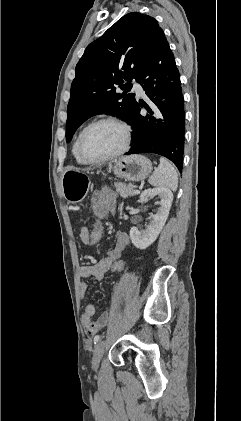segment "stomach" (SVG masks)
Here are the masks:
<instances>
[{
	"instance_id": "obj_1",
	"label": "stomach",
	"mask_w": 241,
	"mask_h": 421,
	"mask_svg": "<svg viewBox=\"0 0 241 421\" xmlns=\"http://www.w3.org/2000/svg\"><path fill=\"white\" fill-rule=\"evenodd\" d=\"M115 175L128 181H142L152 171V163L142 155L123 156L112 165ZM90 178L86 172L77 168H68L62 175L64 198L70 203L81 202L90 188Z\"/></svg>"
}]
</instances>
